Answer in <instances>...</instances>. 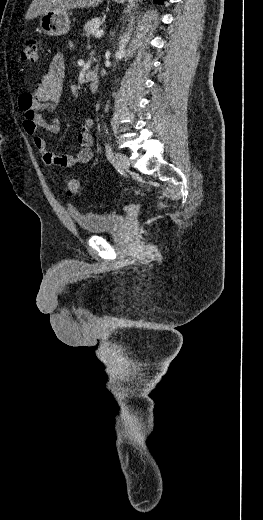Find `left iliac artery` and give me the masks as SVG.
<instances>
[{
    "label": "left iliac artery",
    "instance_id": "obj_1",
    "mask_svg": "<svg viewBox=\"0 0 263 520\" xmlns=\"http://www.w3.org/2000/svg\"><path fill=\"white\" fill-rule=\"evenodd\" d=\"M105 151H106V156H107L108 160L113 161V151H112L111 146L108 143H106V145H105Z\"/></svg>",
    "mask_w": 263,
    "mask_h": 520
}]
</instances>
